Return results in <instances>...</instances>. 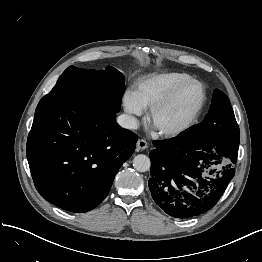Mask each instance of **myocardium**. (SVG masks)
<instances>
[{
  "label": "myocardium",
  "mask_w": 262,
  "mask_h": 262,
  "mask_svg": "<svg viewBox=\"0 0 262 262\" xmlns=\"http://www.w3.org/2000/svg\"><path fill=\"white\" fill-rule=\"evenodd\" d=\"M189 84H198L202 88V98H201V101L199 103V106L197 107L194 114L190 117V119L187 122H185L184 124H182L181 126H178L176 128H173V129H161V130L156 129L157 133L161 137L173 138V137H177V136L184 134L185 132L190 130L197 123L199 117L201 116L202 111L204 109V106L206 104V100H207L206 88L200 81L193 79V78H190V79H187V80L179 83L178 85H176L165 96H163L157 103H155L150 108V111H149L148 117H147L148 123L151 126H153L154 119H155L156 115L161 110H163L165 107H167L173 101V99L177 96V94L184 87H186Z\"/></svg>",
  "instance_id": "myocardium-1"
}]
</instances>
